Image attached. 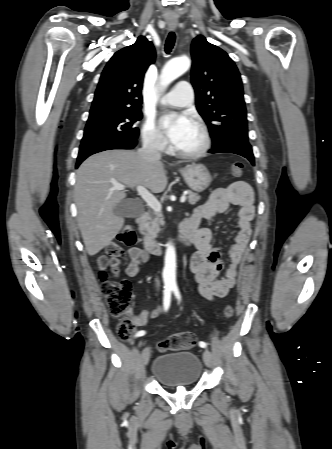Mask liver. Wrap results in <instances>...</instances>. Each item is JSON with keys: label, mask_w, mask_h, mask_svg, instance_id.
Here are the masks:
<instances>
[{"label": "liver", "mask_w": 332, "mask_h": 449, "mask_svg": "<svg viewBox=\"0 0 332 449\" xmlns=\"http://www.w3.org/2000/svg\"><path fill=\"white\" fill-rule=\"evenodd\" d=\"M114 183L135 188L142 185L154 193L164 191L167 178L160 161H147L138 152L110 150L86 159L78 168L75 202L78 225L90 256L108 246L124 225L114 207L126 197Z\"/></svg>", "instance_id": "1"}]
</instances>
